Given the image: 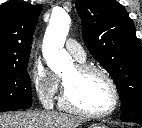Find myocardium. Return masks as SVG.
I'll use <instances>...</instances> for the list:
<instances>
[{
    "mask_svg": "<svg viewBox=\"0 0 142 128\" xmlns=\"http://www.w3.org/2000/svg\"><path fill=\"white\" fill-rule=\"evenodd\" d=\"M75 67L82 74L98 73V74H101L103 77H105L113 93L112 106L107 111L101 112V113H93V112L85 111L81 109L80 107L76 106L71 101L69 92L64 83L62 88V95L60 98V106L63 109L67 110L68 112H71L73 114H76L82 117L91 118V119H101V118H105L112 115L119 106L120 94H119L117 84L115 80L113 79V77L111 76V74L108 71H106L104 68L97 65H92V64L80 63V64H77Z\"/></svg>",
    "mask_w": 142,
    "mask_h": 128,
    "instance_id": "f54148a6",
    "label": "myocardium"
}]
</instances>
